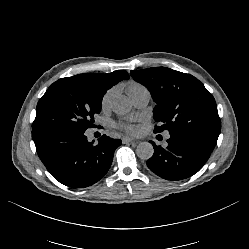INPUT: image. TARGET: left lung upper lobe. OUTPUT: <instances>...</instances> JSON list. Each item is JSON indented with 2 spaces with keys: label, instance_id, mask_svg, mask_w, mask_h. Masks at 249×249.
Segmentation results:
<instances>
[{
  "label": "left lung upper lobe",
  "instance_id": "left-lung-upper-lobe-1",
  "mask_svg": "<svg viewBox=\"0 0 249 249\" xmlns=\"http://www.w3.org/2000/svg\"><path fill=\"white\" fill-rule=\"evenodd\" d=\"M131 76L151 93L157 132L197 129L220 133L216 102L204 85L190 74L166 67L131 70Z\"/></svg>",
  "mask_w": 249,
  "mask_h": 249
}]
</instances>
